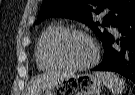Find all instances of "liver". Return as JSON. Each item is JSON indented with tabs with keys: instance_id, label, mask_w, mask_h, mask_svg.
<instances>
[{
	"instance_id": "obj_1",
	"label": "liver",
	"mask_w": 135,
	"mask_h": 95,
	"mask_svg": "<svg viewBox=\"0 0 135 95\" xmlns=\"http://www.w3.org/2000/svg\"><path fill=\"white\" fill-rule=\"evenodd\" d=\"M70 75L68 72H49L35 79L28 91V95H40L45 89Z\"/></svg>"
}]
</instances>
